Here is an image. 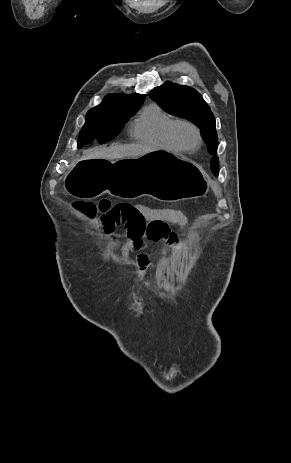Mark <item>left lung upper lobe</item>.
Returning <instances> with one entry per match:
<instances>
[{
  "mask_svg": "<svg viewBox=\"0 0 291 463\" xmlns=\"http://www.w3.org/2000/svg\"><path fill=\"white\" fill-rule=\"evenodd\" d=\"M150 98L156 101L166 112L185 118L200 128L209 152L216 155L218 138L215 129V118L210 107L193 88L167 82L150 91ZM211 170L217 176L219 159L213 157Z\"/></svg>",
  "mask_w": 291,
  "mask_h": 463,
  "instance_id": "1",
  "label": "left lung upper lobe"
}]
</instances>
